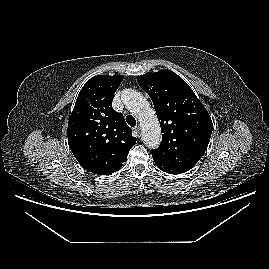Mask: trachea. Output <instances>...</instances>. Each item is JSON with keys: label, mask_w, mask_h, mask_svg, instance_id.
I'll list each match as a JSON object with an SVG mask.
<instances>
[{"label": "trachea", "mask_w": 269, "mask_h": 269, "mask_svg": "<svg viewBox=\"0 0 269 269\" xmlns=\"http://www.w3.org/2000/svg\"><path fill=\"white\" fill-rule=\"evenodd\" d=\"M126 122L131 126L134 127L136 125V120L132 115H128L126 117Z\"/></svg>", "instance_id": "obj_1"}]
</instances>
